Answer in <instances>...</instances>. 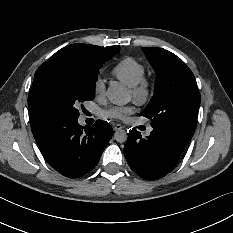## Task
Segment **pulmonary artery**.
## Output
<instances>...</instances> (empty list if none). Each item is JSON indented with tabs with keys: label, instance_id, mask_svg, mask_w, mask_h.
<instances>
[{
	"label": "pulmonary artery",
	"instance_id": "e3ab8cb5",
	"mask_svg": "<svg viewBox=\"0 0 233 233\" xmlns=\"http://www.w3.org/2000/svg\"><path fill=\"white\" fill-rule=\"evenodd\" d=\"M151 131H152L151 129H150V130H148V131H147V134L149 135V134L151 133Z\"/></svg>",
	"mask_w": 233,
	"mask_h": 233
}]
</instances>
